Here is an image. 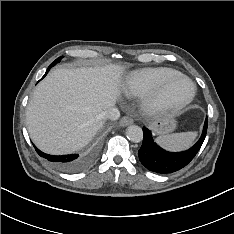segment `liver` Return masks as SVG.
Masks as SVG:
<instances>
[{"mask_svg": "<svg viewBox=\"0 0 234 234\" xmlns=\"http://www.w3.org/2000/svg\"><path fill=\"white\" fill-rule=\"evenodd\" d=\"M124 69L106 64L50 72L35 88L26 109L27 128L35 145L59 155L88 144L104 124L99 115L120 94Z\"/></svg>", "mask_w": 234, "mask_h": 234, "instance_id": "6515ba94", "label": "liver"}]
</instances>
